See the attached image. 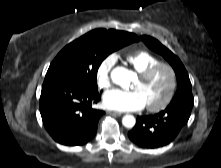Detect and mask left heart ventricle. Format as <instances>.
Here are the masks:
<instances>
[{
  "instance_id": "b2bd125f",
  "label": "left heart ventricle",
  "mask_w": 221,
  "mask_h": 168,
  "mask_svg": "<svg viewBox=\"0 0 221 168\" xmlns=\"http://www.w3.org/2000/svg\"><path fill=\"white\" fill-rule=\"evenodd\" d=\"M170 86V76L167 70L161 69L156 72L149 80L135 81L133 88L139 90L144 97L146 105H155L161 102Z\"/></svg>"
}]
</instances>
